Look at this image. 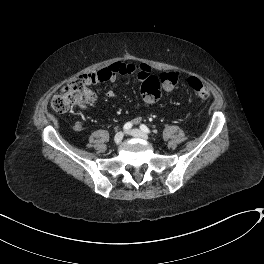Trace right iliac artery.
<instances>
[{
    "label": "right iliac artery",
    "instance_id": "82829eb1",
    "mask_svg": "<svg viewBox=\"0 0 264 264\" xmlns=\"http://www.w3.org/2000/svg\"><path fill=\"white\" fill-rule=\"evenodd\" d=\"M131 127H132V123H131V122H127V123L123 126V129H124V131H127V130H129Z\"/></svg>",
    "mask_w": 264,
    "mask_h": 264
}]
</instances>
